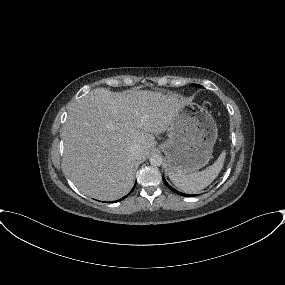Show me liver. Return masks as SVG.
<instances>
[{
  "label": "liver",
  "mask_w": 285,
  "mask_h": 285,
  "mask_svg": "<svg viewBox=\"0 0 285 285\" xmlns=\"http://www.w3.org/2000/svg\"><path fill=\"white\" fill-rule=\"evenodd\" d=\"M186 103L176 94L93 89L72 104L63 127L65 174L90 197H123L134 184L136 159L130 147H140L137 160L148 156L155 135L168 130Z\"/></svg>",
  "instance_id": "obj_1"
}]
</instances>
